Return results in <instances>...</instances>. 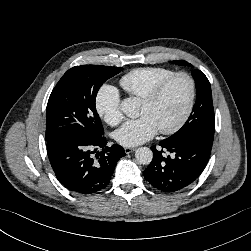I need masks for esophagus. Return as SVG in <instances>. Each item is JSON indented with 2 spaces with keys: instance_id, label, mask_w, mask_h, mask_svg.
<instances>
[{
  "instance_id": "esophagus-1",
  "label": "esophagus",
  "mask_w": 251,
  "mask_h": 251,
  "mask_svg": "<svg viewBox=\"0 0 251 251\" xmlns=\"http://www.w3.org/2000/svg\"><path fill=\"white\" fill-rule=\"evenodd\" d=\"M126 154H130L136 150V148L133 147H125L124 148Z\"/></svg>"
}]
</instances>
